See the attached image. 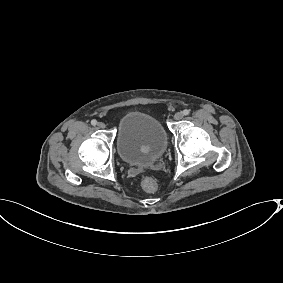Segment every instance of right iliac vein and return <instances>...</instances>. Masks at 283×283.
<instances>
[{"label": "right iliac vein", "mask_w": 283, "mask_h": 283, "mask_svg": "<svg viewBox=\"0 0 283 283\" xmlns=\"http://www.w3.org/2000/svg\"><path fill=\"white\" fill-rule=\"evenodd\" d=\"M97 126L100 128V129H104L106 127V125L103 123V122H98L97 123Z\"/></svg>", "instance_id": "right-iliac-vein-1"}]
</instances>
